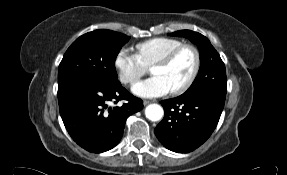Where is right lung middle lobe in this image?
Masks as SVG:
<instances>
[{"label": "right lung middle lobe", "mask_w": 287, "mask_h": 175, "mask_svg": "<svg viewBox=\"0 0 287 175\" xmlns=\"http://www.w3.org/2000/svg\"><path fill=\"white\" fill-rule=\"evenodd\" d=\"M130 37L110 31L95 30L80 36L68 48L59 65L58 86L87 81L103 86L120 84L115 59Z\"/></svg>", "instance_id": "right-lung-middle-lobe-1"}]
</instances>
